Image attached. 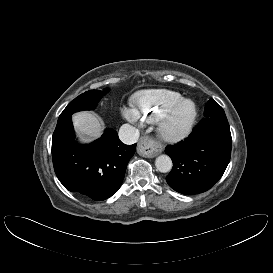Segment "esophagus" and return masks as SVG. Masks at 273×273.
Instances as JSON below:
<instances>
[{
    "mask_svg": "<svg viewBox=\"0 0 273 273\" xmlns=\"http://www.w3.org/2000/svg\"><path fill=\"white\" fill-rule=\"evenodd\" d=\"M137 152L141 156L153 158L163 152V146L148 136H142L138 143Z\"/></svg>",
    "mask_w": 273,
    "mask_h": 273,
    "instance_id": "34e87169",
    "label": "esophagus"
}]
</instances>
